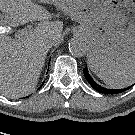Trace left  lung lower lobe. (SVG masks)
<instances>
[{
  "instance_id": "0a47b994",
  "label": "left lung lower lobe",
  "mask_w": 135,
  "mask_h": 135,
  "mask_svg": "<svg viewBox=\"0 0 135 135\" xmlns=\"http://www.w3.org/2000/svg\"><path fill=\"white\" fill-rule=\"evenodd\" d=\"M84 75L85 78L87 79V81L90 83V85L98 92L100 93H104V94H118L121 92H124L126 90H128L130 87L128 88H124V89H107L104 87H101L100 85H98L90 76V74L88 73V69L87 66L84 68Z\"/></svg>"
}]
</instances>
